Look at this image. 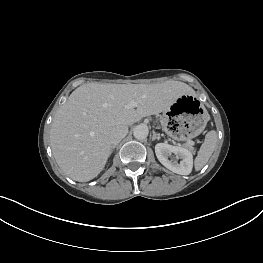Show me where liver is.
Returning a JSON list of instances; mask_svg holds the SVG:
<instances>
[{"label":"liver","instance_id":"6515ba94","mask_svg":"<svg viewBox=\"0 0 263 263\" xmlns=\"http://www.w3.org/2000/svg\"><path fill=\"white\" fill-rule=\"evenodd\" d=\"M193 89L179 81L159 84L91 82L75 89L57 110L51 130L52 153L71 179L87 182L105 167L112 152L110 134L150 115L164 112ZM135 101L136 109L126 108Z\"/></svg>","mask_w":263,"mask_h":263}]
</instances>
